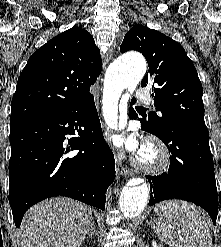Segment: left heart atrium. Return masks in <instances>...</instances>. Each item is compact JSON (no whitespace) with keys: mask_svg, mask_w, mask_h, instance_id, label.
<instances>
[{"mask_svg":"<svg viewBox=\"0 0 221 247\" xmlns=\"http://www.w3.org/2000/svg\"><path fill=\"white\" fill-rule=\"evenodd\" d=\"M113 142L118 146H124L132 151L138 148V142L134 136L115 135L113 136Z\"/></svg>","mask_w":221,"mask_h":247,"instance_id":"39dd6f15","label":"left heart atrium"}]
</instances>
